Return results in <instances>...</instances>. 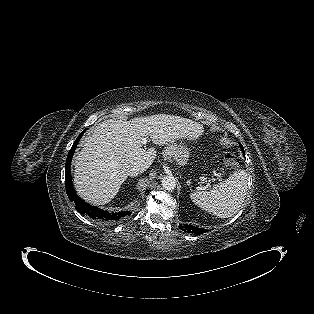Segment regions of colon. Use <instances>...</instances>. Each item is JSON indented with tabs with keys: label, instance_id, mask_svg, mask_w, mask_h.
I'll return each instance as SVG.
<instances>
[{
	"label": "colon",
	"instance_id": "obj_1",
	"mask_svg": "<svg viewBox=\"0 0 314 314\" xmlns=\"http://www.w3.org/2000/svg\"><path fill=\"white\" fill-rule=\"evenodd\" d=\"M225 162L232 167L237 165L236 155L234 152L229 151L225 154Z\"/></svg>",
	"mask_w": 314,
	"mask_h": 314
}]
</instances>
